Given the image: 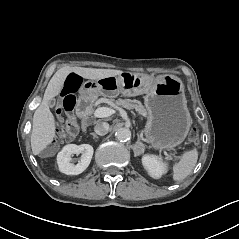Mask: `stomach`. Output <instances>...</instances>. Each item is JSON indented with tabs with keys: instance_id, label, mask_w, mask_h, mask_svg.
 <instances>
[{
	"instance_id": "obj_1",
	"label": "stomach",
	"mask_w": 239,
	"mask_h": 239,
	"mask_svg": "<svg viewBox=\"0 0 239 239\" xmlns=\"http://www.w3.org/2000/svg\"><path fill=\"white\" fill-rule=\"evenodd\" d=\"M146 94L148 111L145 141L159 150H172L186 138L192 125L184 85L176 76H160L156 82L146 74L122 72L95 81L88 80L79 89V100L94 102L99 96L115 98Z\"/></svg>"
}]
</instances>
